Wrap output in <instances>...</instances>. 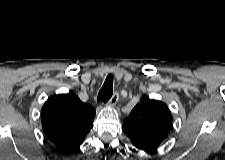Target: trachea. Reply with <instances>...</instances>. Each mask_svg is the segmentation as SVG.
I'll return each instance as SVG.
<instances>
[{
	"mask_svg": "<svg viewBox=\"0 0 225 160\" xmlns=\"http://www.w3.org/2000/svg\"><path fill=\"white\" fill-rule=\"evenodd\" d=\"M113 94V75L109 74L103 84V87L98 93L97 100L106 103Z\"/></svg>",
	"mask_w": 225,
	"mask_h": 160,
	"instance_id": "3493384b",
	"label": "trachea"
}]
</instances>
